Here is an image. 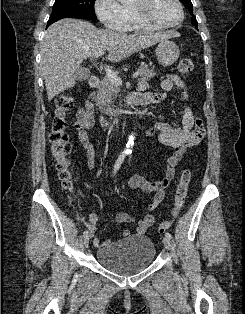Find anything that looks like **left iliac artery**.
Masks as SVG:
<instances>
[{
  "label": "left iliac artery",
  "instance_id": "1",
  "mask_svg": "<svg viewBox=\"0 0 245 314\" xmlns=\"http://www.w3.org/2000/svg\"><path fill=\"white\" fill-rule=\"evenodd\" d=\"M165 236L168 237L169 239L172 238V236H171V234L169 232H166Z\"/></svg>",
  "mask_w": 245,
  "mask_h": 314
}]
</instances>
